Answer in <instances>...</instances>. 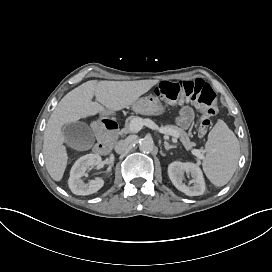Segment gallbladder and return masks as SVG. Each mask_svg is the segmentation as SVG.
Here are the masks:
<instances>
[{
    "mask_svg": "<svg viewBox=\"0 0 272 272\" xmlns=\"http://www.w3.org/2000/svg\"><path fill=\"white\" fill-rule=\"evenodd\" d=\"M66 143L74 149H91L95 143L92 129L84 122L68 123L63 127Z\"/></svg>",
    "mask_w": 272,
    "mask_h": 272,
    "instance_id": "1",
    "label": "gallbladder"
}]
</instances>
